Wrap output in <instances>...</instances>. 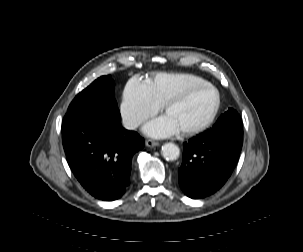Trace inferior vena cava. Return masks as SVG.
<instances>
[{
  "mask_svg": "<svg viewBox=\"0 0 303 252\" xmlns=\"http://www.w3.org/2000/svg\"><path fill=\"white\" fill-rule=\"evenodd\" d=\"M122 124L124 128L128 130H134L141 124V121L136 118L124 117L122 120Z\"/></svg>",
  "mask_w": 303,
  "mask_h": 252,
  "instance_id": "inferior-vena-cava-1",
  "label": "inferior vena cava"
}]
</instances>
